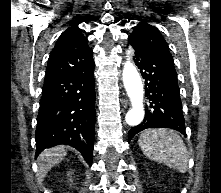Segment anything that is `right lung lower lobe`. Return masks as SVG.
<instances>
[{"label":"right lung lower lobe","instance_id":"1","mask_svg":"<svg viewBox=\"0 0 221 193\" xmlns=\"http://www.w3.org/2000/svg\"><path fill=\"white\" fill-rule=\"evenodd\" d=\"M94 61L81 71L45 80L35 133L36 155L65 144L92 165L95 127Z\"/></svg>","mask_w":221,"mask_h":193}]
</instances>
